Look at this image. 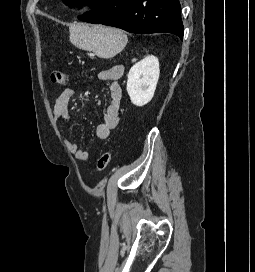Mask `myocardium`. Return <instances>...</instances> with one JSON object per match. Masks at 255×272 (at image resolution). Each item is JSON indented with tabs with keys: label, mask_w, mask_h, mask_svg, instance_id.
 <instances>
[{
	"label": "myocardium",
	"mask_w": 255,
	"mask_h": 272,
	"mask_svg": "<svg viewBox=\"0 0 255 272\" xmlns=\"http://www.w3.org/2000/svg\"><path fill=\"white\" fill-rule=\"evenodd\" d=\"M91 2V0H74L73 4L79 7L88 5Z\"/></svg>",
	"instance_id": "obj_1"
}]
</instances>
